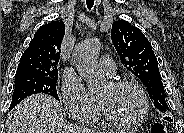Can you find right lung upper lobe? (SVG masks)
<instances>
[{
    "instance_id": "cb5924a9",
    "label": "right lung upper lobe",
    "mask_w": 184,
    "mask_h": 133,
    "mask_svg": "<svg viewBox=\"0 0 184 133\" xmlns=\"http://www.w3.org/2000/svg\"><path fill=\"white\" fill-rule=\"evenodd\" d=\"M64 33L63 22L52 21L41 26L21 56L15 78L58 76Z\"/></svg>"
}]
</instances>
